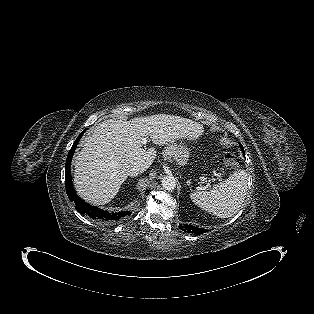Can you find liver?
I'll return each instance as SVG.
<instances>
[{"label":"liver","instance_id":"liver-1","mask_svg":"<svg viewBox=\"0 0 314 314\" xmlns=\"http://www.w3.org/2000/svg\"><path fill=\"white\" fill-rule=\"evenodd\" d=\"M201 132L197 122L168 114L103 121L83 139V148L74 157L75 188L86 201L104 205L127 179L128 165L139 164L145 171L153 163L156 150H145L143 139L150 137L153 144L164 146L182 138L194 139Z\"/></svg>","mask_w":314,"mask_h":314}]
</instances>
